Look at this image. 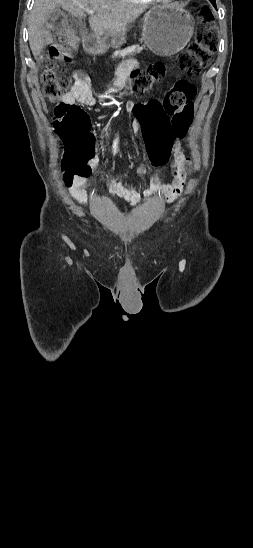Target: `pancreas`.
Listing matches in <instances>:
<instances>
[{"mask_svg": "<svg viewBox=\"0 0 253 548\" xmlns=\"http://www.w3.org/2000/svg\"><path fill=\"white\" fill-rule=\"evenodd\" d=\"M143 50V47H140L138 45H134V46H131V47H127L123 50H119V51H115L113 53V58L115 57H126V56H133L134 54L136 53H140L141 51Z\"/></svg>", "mask_w": 253, "mask_h": 548, "instance_id": "obj_1", "label": "pancreas"}]
</instances>
